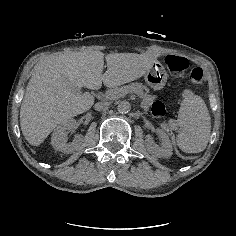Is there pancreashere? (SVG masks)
Instances as JSON below:
<instances>
[{"label": "pancreas", "mask_w": 236, "mask_h": 236, "mask_svg": "<svg viewBox=\"0 0 236 236\" xmlns=\"http://www.w3.org/2000/svg\"><path fill=\"white\" fill-rule=\"evenodd\" d=\"M149 89L144 82L131 83L120 86L119 88L109 89L103 95L105 100H116L120 97L135 92L136 96H142L143 101L149 100Z\"/></svg>", "instance_id": "pancreas-1"}]
</instances>
